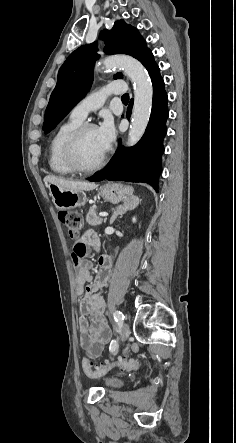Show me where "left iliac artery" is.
<instances>
[{"mask_svg": "<svg viewBox=\"0 0 236 443\" xmlns=\"http://www.w3.org/2000/svg\"><path fill=\"white\" fill-rule=\"evenodd\" d=\"M113 317L116 322H123L125 318L124 314L118 310L113 313ZM116 347H117L116 340H112L109 347L110 352H114L116 350Z\"/></svg>", "mask_w": 236, "mask_h": 443, "instance_id": "1", "label": "left iliac artery"}]
</instances>
